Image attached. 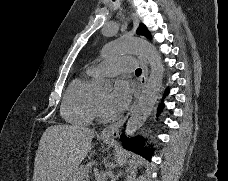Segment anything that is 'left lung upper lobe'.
I'll return each mask as SVG.
<instances>
[{
  "mask_svg": "<svg viewBox=\"0 0 228 181\" xmlns=\"http://www.w3.org/2000/svg\"><path fill=\"white\" fill-rule=\"evenodd\" d=\"M137 34L146 36L147 38L151 37L149 31L147 30V28L143 24L139 25V28L137 30Z\"/></svg>",
  "mask_w": 228,
  "mask_h": 181,
  "instance_id": "left-lung-upper-lobe-1",
  "label": "left lung upper lobe"
}]
</instances>
